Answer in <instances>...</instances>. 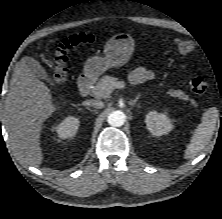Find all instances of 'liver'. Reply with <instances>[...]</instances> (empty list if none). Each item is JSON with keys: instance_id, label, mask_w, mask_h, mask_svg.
<instances>
[{"instance_id": "1", "label": "liver", "mask_w": 222, "mask_h": 219, "mask_svg": "<svg viewBox=\"0 0 222 219\" xmlns=\"http://www.w3.org/2000/svg\"><path fill=\"white\" fill-rule=\"evenodd\" d=\"M30 57L16 63L5 99V125L20 158L39 166L43 160L40 135L43 122L57 110L49 88L27 65Z\"/></svg>"}]
</instances>
